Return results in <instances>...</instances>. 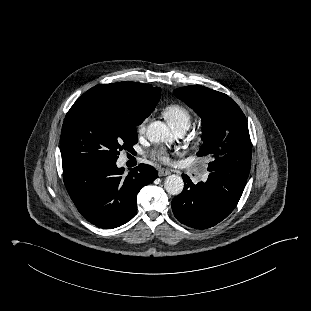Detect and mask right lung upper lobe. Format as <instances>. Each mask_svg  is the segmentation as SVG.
<instances>
[{
    "mask_svg": "<svg viewBox=\"0 0 311 311\" xmlns=\"http://www.w3.org/2000/svg\"><path fill=\"white\" fill-rule=\"evenodd\" d=\"M97 86H106L116 89L124 94L133 97L134 99L138 100L141 103L157 104L160 99V88L153 87L150 84H142L136 82H118L113 84H103Z\"/></svg>",
    "mask_w": 311,
    "mask_h": 311,
    "instance_id": "right-lung-upper-lobe-1",
    "label": "right lung upper lobe"
}]
</instances>
